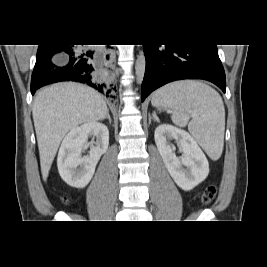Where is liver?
<instances>
[{
  "label": "liver",
  "mask_w": 267,
  "mask_h": 267,
  "mask_svg": "<svg viewBox=\"0 0 267 267\" xmlns=\"http://www.w3.org/2000/svg\"><path fill=\"white\" fill-rule=\"evenodd\" d=\"M107 112L102 96L85 85L58 83L38 92L32 115L44 181L64 136L82 123L104 119Z\"/></svg>",
  "instance_id": "1"
}]
</instances>
